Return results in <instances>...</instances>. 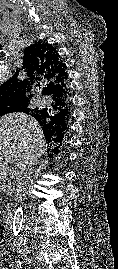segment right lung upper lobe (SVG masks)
Here are the masks:
<instances>
[{
	"mask_svg": "<svg viewBox=\"0 0 118 269\" xmlns=\"http://www.w3.org/2000/svg\"><path fill=\"white\" fill-rule=\"evenodd\" d=\"M66 65L51 44H33L25 48L22 70L26 73L23 80L17 72L0 85V106L30 103L33 89L39 87L50 103L32 109L27 105L24 113L32 115L42 126L47 141L67 130L70 118V89Z\"/></svg>",
	"mask_w": 118,
	"mask_h": 269,
	"instance_id": "cb5924a9",
	"label": "right lung upper lobe"
}]
</instances>
